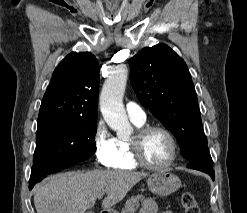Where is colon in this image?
Wrapping results in <instances>:
<instances>
[{"label":"colon","mask_w":247,"mask_h":213,"mask_svg":"<svg viewBox=\"0 0 247 213\" xmlns=\"http://www.w3.org/2000/svg\"><path fill=\"white\" fill-rule=\"evenodd\" d=\"M184 213H201L199 205L191 192H185L181 199Z\"/></svg>","instance_id":"5ec220e1"}]
</instances>
